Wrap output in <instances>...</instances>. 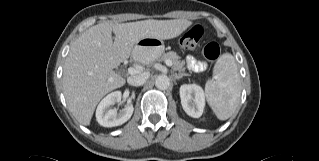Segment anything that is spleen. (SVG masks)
<instances>
[{
	"instance_id": "1",
	"label": "spleen",
	"mask_w": 319,
	"mask_h": 161,
	"mask_svg": "<svg viewBox=\"0 0 319 161\" xmlns=\"http://www.w3.org/2000/svg\"><path fill=\"white\" fill-rule=\"evenodd\" d=\"M214 78L206 83L205 96L209 106L220 120L232 116L241 95L240 75L234 57L223 54L214 66Z\"/></svg>"
}]
</instances>
